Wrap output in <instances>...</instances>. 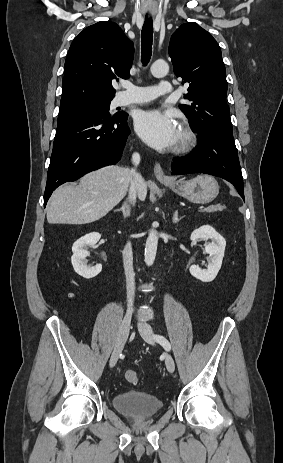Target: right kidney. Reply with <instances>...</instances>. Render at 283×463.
I'll list each match as a JSON object with an SVG mask.
<instances>
[{"label": "right kidney", "mask_w": 283, "mask_h": 463, "mask_svg": "<svg viewBox=\"0 0 283 463\" xmlns=\"http://www.w3.org/2000/svg\"><path fill=\"white\" fill-rule=\"evenodd\" d=\"M100 238L101 234L92 232L79 238L72 246L73 255L71 257V262L73 268L78 275L86 279L97 276L102 270L101 264L90 267L87 266L85 261V258L88 255L86 247L95 245Z\"/></svg>", "instance_id": "right-kidney-1"}]
</instances>
